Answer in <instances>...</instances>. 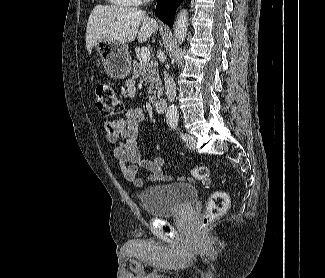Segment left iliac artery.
I'll list each match as a JSON object with an SVG mask.
<instances>
[{"label":"left iliac artery","instance_id":"left-iliac-artery-1","mask_svg":"<svg viewBox=\"0 0 325 278\" xmlns=\"http://www.w3.org/2000/svg\"><path fill=\"white\" fill-rule=\"evenodd\" d=\"M172 128L176 129L177 126H176V125H173ZM180 138H181L183 141H188V140H190V136L187 135V134H184V133H180Z\"/></svg>","mask_w":325,"mask_h":278}]
</instances>
